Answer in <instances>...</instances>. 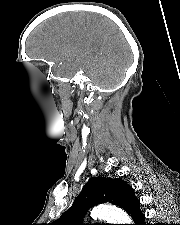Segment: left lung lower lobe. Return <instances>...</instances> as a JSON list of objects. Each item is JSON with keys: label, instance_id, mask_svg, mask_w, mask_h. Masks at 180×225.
<instances>
[{"label": "left lung lower lobe", "instance_id": "obj_1", "mask_svg": "<svg viewBox=\"0 0 180 225\" xmlns=\"http://www.w3.org/2000/svg\"><path fill=\"white\" fill-rule=\"evenodd\" d=\"M131 217L134 221L133 225H146L144 222L145 215L139 210L131 214Z\"/></svg>", "mask_w": 180, "mask_h": 225}]
</instances>
